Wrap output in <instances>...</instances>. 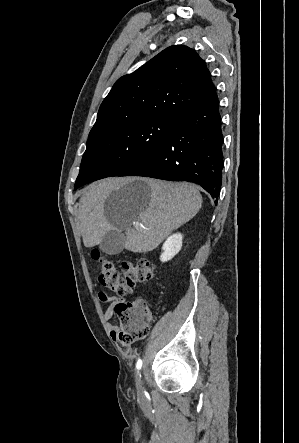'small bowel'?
<instances>
[{"mask_svg":"<svg viewBox=\"0 0 299 443\" xmlns=\"http://www.w3.org/2000/svg\"><path fill=\"white\" fill-rule=\"evenodd\" d=\"M98 299L101 302H108V306L104 312V318L108 322V329L110 336L113 339H116L117 333H118V327L112 322V319L115 316V306L118 303L124 302V297H111L105 292H99L98 293Z\"/></svg>","mask_w":299,"mask_h":443,"instance_id":"1","label":"small bowel"}]
</instances>
